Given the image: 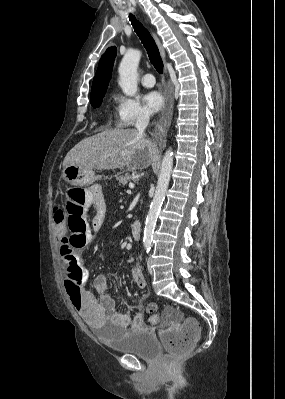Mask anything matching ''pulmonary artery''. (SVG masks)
<instances>
[{"label": "pulmonary artery", "instance_id": "obj_1", "mask_svg": "<svg viewBox=\"0 0 285 399\" xmlns=\"http://www.w3.org/2000/svg\"><path fill=\"white\" fill-rule=\"evenodd\" d=\"M141 84L145 87H153L155 79L152 73H145L140 80Z\"/></svg>", "mask_w": 285, "mask_h": 399}]
</instances>
